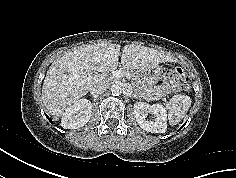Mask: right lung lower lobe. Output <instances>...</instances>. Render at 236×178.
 Segmentation results:
<instances>
[{
    "instance_id": "1",
    "label": "right lung lower lobe",
    "mask_w": 236,
    "mask_h": 178,
    "mask_svg": "<svg viewBox=\"0 0 236 178\" xmlns=\"http://www.w3.org/2000/svg\"><path fill=\"white\" fill-rule=\"evenodd\" d=\"M47 116V115H46ZM48 120L52 123V120L47 116Z\"/></svg>"
}]
</instances>
